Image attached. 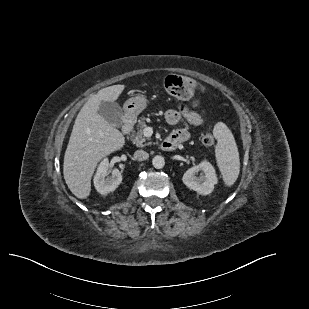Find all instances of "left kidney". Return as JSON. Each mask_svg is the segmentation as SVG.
<instances>
[{
  "label": "left kidney",
  "mask_w": 309,
  "mask_h": 309,
  "mask_svg": "<svg viewBox=\"0 0 309 309\" xmlns=\"http://www.w3.org/2000/svg\"><path fill=\"white\" fill-rule=\"evenodd\" d=\"M202 171L198 177L196 174ZM183 183L190 189L202 195L210 194L217 184V176L214 167L206 160L189 168L183 175Z\"/></svg>",
  "instance_id": "left-kidney-1"
}]
</instances>
